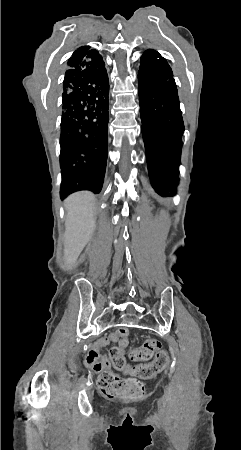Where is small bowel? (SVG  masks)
<instances>
[{
	"instance_id": "1",
	"label": "small bowel",
	"mask_w": 241,
	"mask_h": 450,
	"mask_svg": "<svg viewBox=\"0 0 241 450\" xmlns=\"http://www.w3.org/2000/svg\"><path fill=\"white\" fill-rule=\"evenodd\" d=\"M117 339H119V347L126 348L130 342L129 330L126 327L122 326L117 330L116 333H112L109 336L110 341H116ZM107 343L108 339L101 340L86 355V364L90 366L95 372H100L102 369L109 367L111 364V361L107 356H100L99 354V350L106 346Z\"/></svg>"
}]
</instances>
